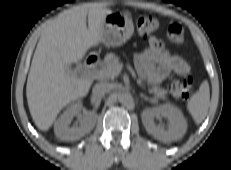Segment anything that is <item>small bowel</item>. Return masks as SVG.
I'll return each mask as SVG.
<instances>
[{"label": "small bowel", "mask_w": 231, "mask_h": 170, "mask_svg": "<svg viewBox=\"0 0 231 170\" xmlns=\"http://www.w3.org/2000/svg\"><path fill=\"white\" fill-rule=\"evenodd\" d=\"M169 36L181 43L183 41L181 27L172 24L169 27ZM135 62L142 75L152 84L163 82L172 72L187 75L190 70L183 58L169 53L157 38H151L149 46L135 55Z\"/></svg>", "instance_id": "small-bowel-1"}]
</instances>
